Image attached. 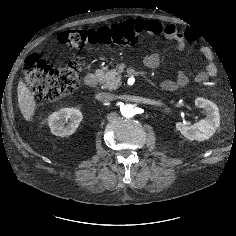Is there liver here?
<instances>
[{
    "label": "liver",
    "mask_w": 236,
    "mask_h": 236,
    "mask_svg": "<svg viewBox=\"0 0 236 236\" xmlns=\"http://www.w3.org/2000/svg\"><path fill=\"white\" fill-rule=\"evenodd\" d=\"M17 95L21 114L27 122L32 121V117L35 113L36 102L34 100V94L23 81H20L18 84Z\"/></svg>",
    "instance_id": "liver-1"
}]
</instances>
